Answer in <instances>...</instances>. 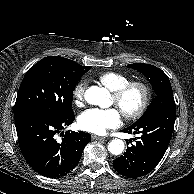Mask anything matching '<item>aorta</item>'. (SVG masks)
Listing matches in <instances>:
<instances>
[{
	"mask_svg": "<svg viewBox=\"0 0 194 194\" xmlns=\"http://www.w3.org/2000/svg\"><path fill=\"white\" fill-rule=\"evenodd\" d=\"M109 97L107 89L98 86H91L85 93V100L92 105L103 106ZM124 142L120 139H113L108 144V150L111 154L119 155L124 151Z\"/></svg>",
	"mask_w": 194,
	"mask_h": 194,
	"instance_id": "1",
	"label": "aorta"
}]
</instances>
